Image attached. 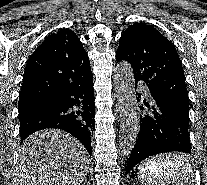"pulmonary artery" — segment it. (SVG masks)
<instances>
[{"instance_id": "obj_1", "label": "pulmonary artery", "mask_w": 207, "mask_h": 185, "mask_svg": "<svg viewBox=\"0 0 207 185\" xmlns=\"http://www.w3.org/2000/svg\"><path fill=\"white\" fill-rule=\"evenodd\" d=\"M145 95H148V89L146 87L142 88Z\"/></svg>"}]
</instances>
